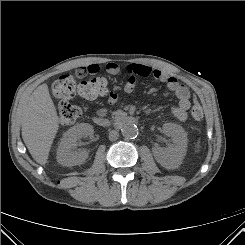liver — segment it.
<instances>
[{"mask_svg": "<svg viewBox=\"0 0 245 245\" xmlns=\"http://www.w3.org/2000/svg\"><path fill=\"white\" fill-rule=\"evenodd\" d=\"M59 128V118L47 84L38 86L25 104L22 138L33 159L45 165Z\"/></svg>", "mask_w": 245, "mask_h": 245, "instance_id": "6515ba94", "label": "liver"}]
</instances>
